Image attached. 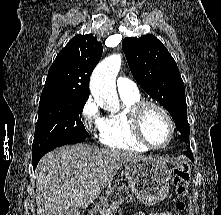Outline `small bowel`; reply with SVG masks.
Masks as SVG:
<instances>
[{"label":"small bowel","instance_id":"small-bowel-1","mask_svg":"<svg viewBox=\"0 0 221 215\" xmlns=\"http://www.w3.org/2000/svg\"><path fill=\"white\" fill-rule=\"evenodd\" d=\"M151 215H175V214L170 211H164V212L154 213Z\"/></svg>","mask_w":221,"mask_h":215}]
</instances>
